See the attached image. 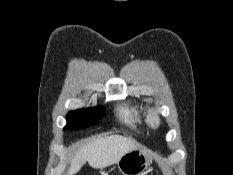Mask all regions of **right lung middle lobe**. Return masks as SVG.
<instances>
[{
    "mask_svg": "<svg viewBox=\"0 0 233 175\" xmlns=\"http://www.w3.org/2000/svg\"><path fill=\"white\" fill-rule=\"evenodd\" d=\"M103 109L101 106L81 110L70 111L67 114V125L64 129L78 130L94 125L101 117Z\"/></svg>",
    "mask_w": 233,
    "mask_h": 175,
    "instance_id": "right-lung-middle-lobe-1",
    "label": "right lung middle lobe"
}]
</instances>
